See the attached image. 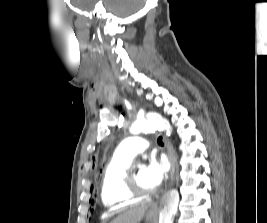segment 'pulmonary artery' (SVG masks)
I'll return each instance as SVG.
<instances>
[{
	"label": "pulmonary artery",
	"instance_id": "obj_1",
	"mask_svg": "<svg viewBox=\"0 0 267 223\" xmlns=\"http://www.w3.org/2000/svg\"><path fill=\"white\" fill-rule=\"evenodd\" d=\"M147 147L146 138L136 135L122 141L115 149L114 154L118 157L132 160L137 154L145 151Z\"/></svg>",
	"mask_w": 267,
	"mask_h": 223
}]
</instances>
